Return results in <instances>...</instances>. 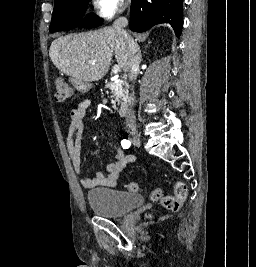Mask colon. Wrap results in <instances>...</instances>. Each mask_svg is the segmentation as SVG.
I'll list each match as a JSON object with an SVG mask.
<instances>
[{
  "label": "colon",
  "mask_w": 256,
  "mask_h": 267,
  "mask_svg": "<svg viewBox=\"0 0 256 267\" xmlns=\"http://www.w3.org/2000/svg\"><path fill=\"white\" fill-rule=\"evenodd\" d=\"M55 95L58 100L62 101L72 99L74 97V89L72 84L65 80L57 81ZM126 187L127 190L131 193H140L141 191V185L136 182H130L127 184ZM157 195H161L160 189L154 188L152 198L154 200H158V197H162ZM187 195H188L187 185L185 184V182L177 180L173 184V193L171 194V196L163 198L161 202L162 205L169 211L177 212L181 208V204L186 199Z\"/></svg>",
  "instance_id": "5ec220e1"
}]
</instances>
